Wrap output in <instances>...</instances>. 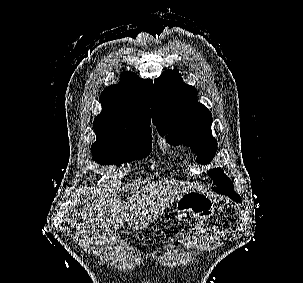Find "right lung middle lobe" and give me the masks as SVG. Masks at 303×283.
<instances>
[{
	"label": "right lung middle lobe",
	"instance_id": "right-lung-middle-lobe-1",
	"mask_svg": "<svg viewBox=\"0 0 303 283\" xmlns=\"http://www.w3.org/2000/svg\"><path fill=\"white\" fill-rule=\"evenodd\" d=\"M91 152L101 165H121L146 157L152 149L150 125L131 126L120 130H101Z\"/></svg>",
	"mask_w": 303,
	"mask_h": 283
}]
</instances>
